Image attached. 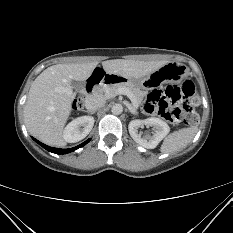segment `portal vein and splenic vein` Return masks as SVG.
Masks as SVG:
<instances>
[{
	"instance_id": "portal-vein-and-splenic-vein-1",
	"label": "portal vein and splenic vein",
	"mask_w": 233,
	"mask_h": 233,
	"mask_svg": "<svg viewBox=\"0 0 233 233\" xmlns=\"http://www.w3.org/2000/svg\"><path fill=\"white\" fill-rule=\"evenodd\" d=\"M116 94L126 95L131 100L132 103L134 101V95L126 88L118 89Z\"/></svg>"
}]
</instances>
